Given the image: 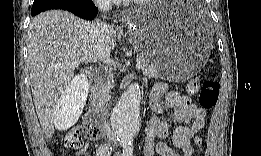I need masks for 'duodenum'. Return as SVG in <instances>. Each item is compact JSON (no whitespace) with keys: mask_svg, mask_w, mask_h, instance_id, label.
I'll return each mask as SVG.
<instances>
[{"mask_svg":"<svg viewBox=\"0 0 261 156\" xmlns=\"http://www.w3.org/2000/svg\"><path fill=\"white\" fill-rule=\"evenodd\" d=\"M89 78L91 81L97 84L100 80V73L96 70H93L89 73ZM93 111L105 114L106 102L103 99L96 97L93 101Z\"/></svg>","mask_w":261,"mask_h":156,"instance_id":"410a0bca","label":"duodenum"}]
</instances>
